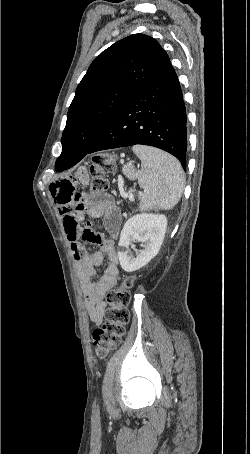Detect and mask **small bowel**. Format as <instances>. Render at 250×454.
<instances>
[{"mask_svg":"<svg viewBox=\"0 0 250 454\" xmlns=\"http://www.w3.org/2000/svg\"><path fill=\"white\" fill-rule=\"evenodd\" d=\"M88 183L86 173L80 171L76 177H62L51 184L50 191L70 242L79 281L84 290L90 321L100 325L103 321L107 291L115 287L119 279V258L115 247L122 215L113 197L109 194L89 196L76 193L77 188ZM85 218L102 219L110 238L82 227ZM82 241L98 245L97 250H87ZM107 258L104 273L96 278L95 268Z\"/></svg>","mask_w":250,"mask_h":454,"instance_id":"small-bowel-1","label":"small bowel"}]
</instances>
